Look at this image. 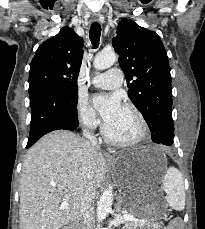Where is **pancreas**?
<instances>
[{
    "instance_id": "obj_1",
    "label": "pancreas",
    "mask_w": 205,
    "mask_h": 229,
    "mask_svg": "<svg viewBox=\"0 0 205 229\" xmlns=\"http://www.w3.org/2000/svg\"><path fill=\"white\" fill-rule=\"evenodd\" d=\"M137 226L142 227V226H144V224L141 223V222L132 221V222L127 223V224L123 227V229H136ZM155 229H157V228H155Z\"/></svg>"
}]
</instances>
